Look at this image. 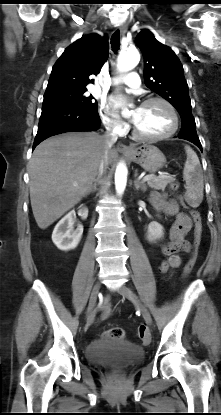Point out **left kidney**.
Masks as SVG:
<instances>
[{"mask_svg": "<svg viewBox=\"0 0 221 415\" xmlns=\"http://www.w3.org/2000/svg\"><path fill=\"white\" fill-rule=\"evenodd\" d=\"M163 227L158 222H151L148 225L146 238L149 242H154L163 237Z\"/></svg>", "mask_w": 221, "mask_h": 415, "instance_id": "1", "label": "left kidney"}]
</instances>
